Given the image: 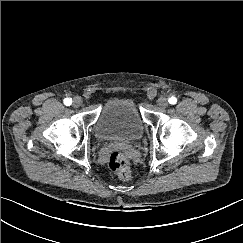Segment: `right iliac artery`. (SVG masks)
<instances>
[{"label":"right iliac artery","instance_id":"right-iliac-artery-1","mask_svg":"<svg viewBox=\"0 0 243 243\" xmlns=\"http://www.w3.org/2000/svg\"><path fill=\"white\" fill-rule=\"evenodd\" d=\"M64 104H65L66 106H70V105L72 104V99H71V98H65V99H64Z\"/></svg>","mask_w":243,"mask_h":243}]
</instances>
